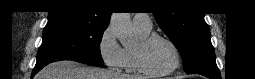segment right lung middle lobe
I'll return each mask as SVG.
<instances>
[{"mask_svg": "<svg viewBox=\"0 0 255 79\" xmlns=\"http://www.w3.org/2000/svg\"><path fill=\"white\" fill-rule=\"evenodd\" d=\"M106 27L70 22L47 23L36 65L59 60H74L92 66H102L100 41Z\"/></svg>", "mask_w": 255, "mask_h": 79, "instance_id": "1", "label": "right lung middle lobe"}]
</instances>
